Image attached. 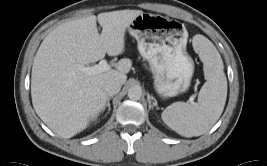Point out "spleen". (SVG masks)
<instances>
[{
    "instance_id": "spleen-1",
    "label": "spleen",
    "mask_w": 267,
    "mask_h": 166,
    "mask_svg": "<svg viewBox=\"0 0 267 166\" xmlns=\"http://www.w3.org/2000/svg\"><path fill=\"white\" fill-rule=\"evenodd\" d=\"M194 47L204 63L206 79L199 92L198 102H176L161 114L167 126L188 138L206 133L217 122L227 97V79L216 47L205 37L196 38Z\"/></svg>"
}]
</instances>
